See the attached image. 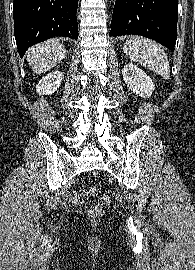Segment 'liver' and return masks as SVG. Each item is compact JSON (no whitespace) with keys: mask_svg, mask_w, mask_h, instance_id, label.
Wrapping results in <instances>:
<instances>
[{"mask_svg":"<svg viewBox=\"0 0 195 270\" xmlns=\"http://www.w3.org/2000/svg\"><path fill=\"white\" fill-rule=\"evenodd\" d=\"M65 47L57 39L40 43L27 53V62L32 70L41 74L51 70L65 57Z\"/></svg>","mask_w":195,"mask_h":270,"instance_id":"liver-1","label":"liver"}]
</instances>
